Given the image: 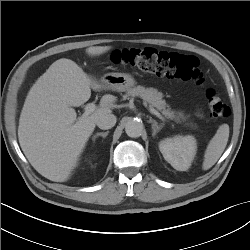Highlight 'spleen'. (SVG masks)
<instances>
[{
    "mask_svg": "<svg viewBox=\"0 0 250 250\" xmlns=\"http://www.w3.org/2000/svg\"><path fill=\"white\" fill-rule=\"evenodd\" d=\"M229 138V125L222 124L219 126L216 134L207 145L202 164L203 170L210 169L221 157L224 152Z\"/></svg>",
    "mask_w": 250,
    "mask_h": 250,
    "instance_id": "spleen-1",
    "label": "spleen"
}]
</instances>
